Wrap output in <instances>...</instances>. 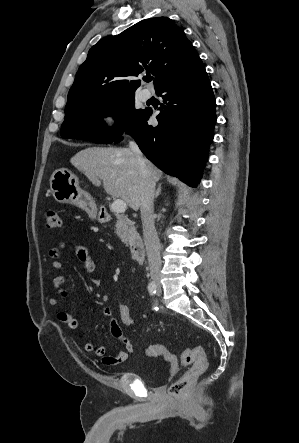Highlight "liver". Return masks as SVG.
<instances>
[{"instance_id":"1","label":"liver","mask_w":299,"mask_h":443,"mask_svg":"<svg viewBox=\"0 0 299 443\" xmlns=\"http://www.w3.org/2000/svg\"><path fill=\"white\" fill-rule=\"evenodd\" d=\"M70 162L94 182L102 180L111 197L120 198L135 211L140 208V176L131 149L89 147L75 154ZM146 163L152 179L160 180L162 172L150 161Z\"/></svg>"}]
</instances>
